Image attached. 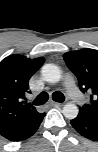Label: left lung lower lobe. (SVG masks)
Listing matches in <instances>:
<instances>
[{
    "label": "left lung lower lobe",
    "mask_w": 98,
    "mask_h": 152,
    "mask_svg": "<svg viewBox=\"0 0 98 152\" xmlns=\"http://www.w3.org/2000/svg\"><path fill=\"white\" fill-rule=\"evenodd\" d=\"M73 128L82 136L90 140H98V121L78 114V116L71 120Z\"/></svg>",
    "instance_id": "left-lung-lower-lobe-1"
}]
</instances>
